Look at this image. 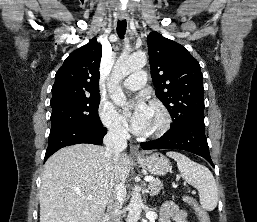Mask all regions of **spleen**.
<instances>
[{
    "mask_svg": "<svg viewBox=\"0 0 257 222\" xmlns=\"http://www.w3.org/2000/svg\"><path fill=\"white\" fill-rule=\"evenodd\" d=\"M167 156L177 162L182 178L198 190L201 207L206 211L214 210L218 203V188L211 171L181 153L170 151Z\"/></svg>",
    "mask_w": 257,
    "mask_h": 222,
    "instance_id": "1",
    "label": "spleen"
}]
</instances>
